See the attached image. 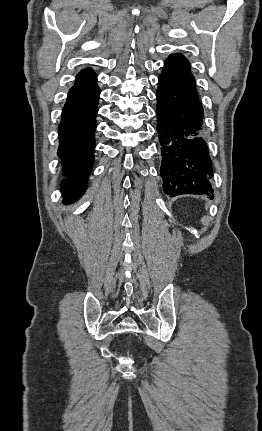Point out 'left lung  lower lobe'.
I'll list each match as a JSON object with an SVG mask.
<instances>
[{"label": "left lung lower lobe", "mask_w": 262, "mask_h": 431, "mask_svg": "<svg viewBox=\"0 0 262 431\" xmlns=\"http://www.w3.org/2000/svg\"><path fill=\"white\" fill-rule=\"evenodd\" d=\"M156 96L164 191L170 196L212 192V162L199 98L162 77Z\"/></svg>", "instance_id": "obj_1"}]
</instances>
